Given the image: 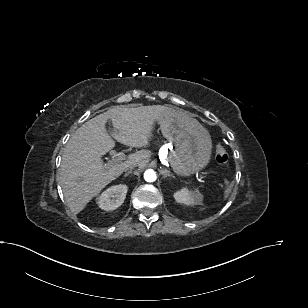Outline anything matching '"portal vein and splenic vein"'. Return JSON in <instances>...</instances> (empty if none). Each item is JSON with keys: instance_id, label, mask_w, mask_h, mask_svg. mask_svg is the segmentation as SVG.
<instances>
[{"instance_id": "obj_1", "label": "portal vein and splenic vein", "mask_w": 308, "mask_h": 308, "mask_svg": "<svg viewBox=\"0 0 308 308\" xmlns=\"http://www.w3.org/2000/svg\"><path fill=\"white\" fill-rule=\"evenodd\" d=\"M116 156L117 157L115 159L111 160L110 163H112L114 161L121 162L123 160H126V158H127L123 152H119L118 154H116ZM128 158H129V156H128Z\"/></svg>"}]
</instances>
